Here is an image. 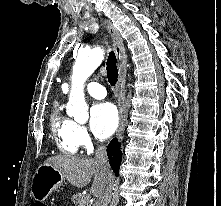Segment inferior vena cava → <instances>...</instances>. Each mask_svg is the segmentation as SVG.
Returning <instances> with one entry per match:
<instances>
[{
	"label": "inferior vena cava",
	"instance_id": "obj_1",
	"mask_svg": "<svg viewBox=\"0 0 221 206\" xmlns=\"http://www.w3.org/2000/svg\"><path fill=\"white\" fill-rule=\"evenodd\" d=\"M95 160L100 164V166L104 172L105 181H104L102 192L97 197V200H96L94 206H108V204L111 201V197H112L114 178H113V173H112L110 166H109L105 146L100 145L97 148L96 153H95Z\"/></svg>",
	"mask_w": 221,
	"mask_h": 206
}]
</instances>
